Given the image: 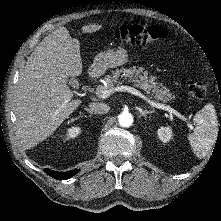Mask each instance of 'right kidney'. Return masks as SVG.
Wrapping results in <instances>:
<instances>
[{
  "instance_id": "obj_1",
  "label": "right kidney",
  "mask_w": 221,
  "mask_h": 221,
  "mask_svg": "<svg viewBox=\"0 0 221 221\" xmlns=\"http://www.w3.org/2000/svg\"><path fill=\"white\" fill-rule=\"evenodd\" d=\"M80 132H81V128L79 126H72L67 129L65 138L66 139L75 138L80 134Z\"/></svg>"
}]
</instances>
